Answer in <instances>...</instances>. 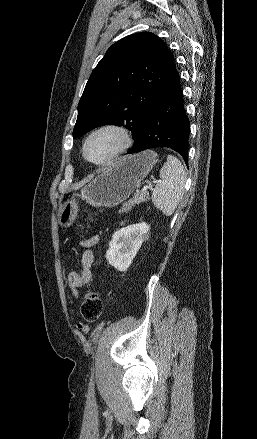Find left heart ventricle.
<instances>
[{"label": "left heart ventricle", "mask_w": 257, "mask_h": 439, "mask_svg": "<svg viewBox=\"0 0 257 439\" xmlns=\"http://www.w3.org/2000/svg\"><path fill=\"white\" fill-rule=\"evenodd\" d=\"M119 146V139L113 132H102L94 136L87 147L91 160L101 161L111 155Z\"/></svg>", "instance_id": "1"}]
</instances>
